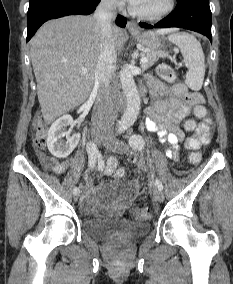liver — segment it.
Here are the masks:
<instances>
[{"label": "liver", "instance_id": "liver-1", "mask_svg": "<svg viewBox=\"0 0 233 284\" xmlns=\"http://www.w3.org/2000/svg\"><path fill=\"white\" fill-rule=\"evenodd\" d=\"M116 51L126 33L113 26ZM101 30L92 16H66L46 22L31 40L30 56L42 116L47 124L86 101L100 55ZM86 68L87 72L82 73Z\"/></svg>", "mask_w": 233, "mask_h": 284}]
</instances>
